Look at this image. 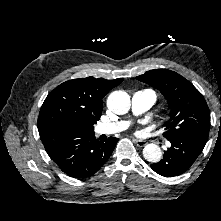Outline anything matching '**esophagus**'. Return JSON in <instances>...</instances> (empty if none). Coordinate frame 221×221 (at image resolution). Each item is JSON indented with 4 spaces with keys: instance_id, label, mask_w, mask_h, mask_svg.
Returning a JSON list of instances; mask_svg holds the SVG:
<instances>
[{
    "instance_id": "1",
    "label": "esophagus",
    "mask_w": 221,
    "mask_h": 221,
    "mask_svg": "<svg viewBox=\"0 0 221 221\" xmlns=\"http://www.w3.org/2000/svg\"><path fill=\"white\" fill-rule=\"evenodd\" d=\"M133 142L138 146V147H143L146 145V141L141 140V139H135L133 138Z\"/></svg>"
}]
</instances>
